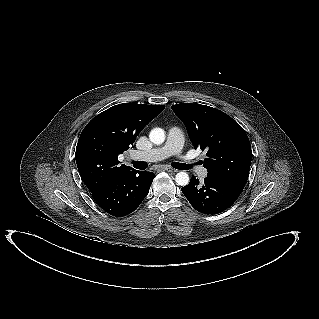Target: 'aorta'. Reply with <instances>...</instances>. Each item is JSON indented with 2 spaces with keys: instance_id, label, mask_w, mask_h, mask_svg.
<instances>
[{
  "instance_id": "762f6f07",
  "label": "aorta",
  "mask_w": 319,
  "mask_h": 319,
  "mask_svg": "<svg viewBox=\"0 0 319 319\" xmlns=\"http://www.w3.org/2000/svg\"><path fill=\"white\" fill-rule=\"evenodd\" d=\"M149 139L152 143L160 145L165 140V131L156 127L151 130ZM175 180L178 185L186 186L189 183V175L186 172H179L176 174Z\"/></svg>"
}]
</instances>
